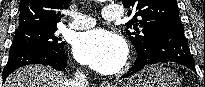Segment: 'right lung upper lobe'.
Segmentation results:
<instances>
[{
    "mask_svg": "<svg viewBox=\"0 0 205 87\" xmlns=\"http://www.w3.org/2000/svg\"><path fill=\"white\" fill-rule=\"evenodd\" d=\"M71 0H21L17 32L57 28L63 16L60 10L67 8Z\"/></svg>",
    "mask_w": 205,
    "mask_h": 87,
    "instance_id": "1",
    "label": "right lung upper lobe"
}]
</instances>
